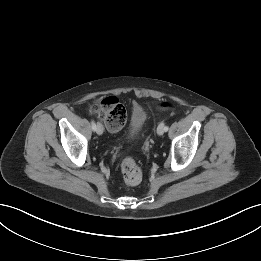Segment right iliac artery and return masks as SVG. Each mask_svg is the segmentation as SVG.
Masks as SVG:
<instances>
[{
  "mask_svg": "<svg viewBox=\"0 0 261 261\" xmlns=\"http://www.w3.org/2000/svg\"><path fill=\"white\" fill-rule=\"evenodd\" d=\"M92 130L96 131V123L92 120L91 121Z\"/></svg>",
  "mask_w": 261,
  "mask_h": 261,
  "instance_id": "82829eb1",
  "label": "right iliac artery"
}]
</instances>
